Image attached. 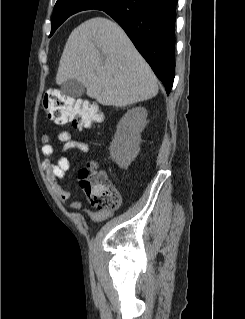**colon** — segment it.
I'll return each instance as SVG.
<instances>
[{
    "mask_svg": "<svg viewBox=\"0 0 245 319\" xmlns=\"http://www.w3.org/2000/svg\"><path fill=\"white\" fill-rule=\"evenodd\" d=\"M43 106L53 121L70 122L78 129H85L102 120L99 108L87 101L66 96L58 90H47L43 97ZM80 187L89 202L100 210H115L120 196L115 185L106 173L89 164L79 172Z\"/></svg>",
    "mask_w": 245,
    "mask_h": 319,
    "instance_id": "5ec220e1",
    "label": "colon"
}]
</instances>
